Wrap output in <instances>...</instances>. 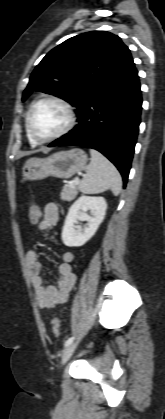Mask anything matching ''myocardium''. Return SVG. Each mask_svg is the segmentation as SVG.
<instances>
[{
    "label": "myocardium",
    "mask_w": 165,
    "mask_h": 419,
    "mask_svg": "<svg viewBox=\"0 0 165 419\" xmlns=\"http://www.w3.org/2000/svg\"><path fill=\"white\" fill-rule=\"evenodd\" d=\"M43 102H53L56 103L58 105H60L66 115H67V122L64 125V127L58 131L57 133H55L52 136H49L47 138H41L39 137L32 126V115H33V111L36 108L37 105H39L40 103ZM75 121H76V114L74 111V108L72 107V105L66 101L65 99L58 97V96H53V95H48V96H44L38 100H36L35 102H33V104L30 106L28 113H27V117H26V127L28 130V133L30 134V136L32 137V139L39 144H43V143H49L52 141H55L63 136H65L68 132H70V130L74 127L75 125Z\"/></svg>",
    "instance_id": "f54148a6"
}]
</instances>
